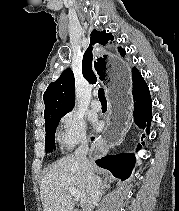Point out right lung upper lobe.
I'll list each match as a JSON object with an SVG mask.
<instances>
[{
	"label": "right lung upper lobe",
	"mask_w": 179,
	"mask_h": 211,
	"mask_svg": "<svg viewBox=\"0 0 179 211\" xmlns=\"http://www.w3.org/2000/svg\"><path fill=\"white\" fill-rule=\"evenodd\" d=\"M110 39L113 40L112 34L106 33L105 30L103 32L97 30L91 32L90 45L84 53L82 62L83 75L90 83H95L97 78L105 82L109 81L107 57L104 55L93 61L92 46L96 43L105 45L107 40ZM119 51L122 56L126 54L124 49L119 48ZM43 100L45 103V122L55 116L65 115L73 109L75 103V83L71 69H66L55 82L48 86L43 95Z\"/></svg>",
	"instance_id": "obj_1"
}]
</instances>
